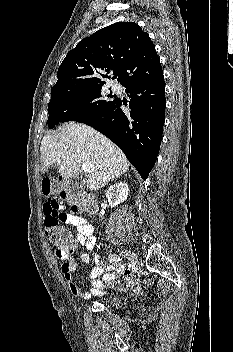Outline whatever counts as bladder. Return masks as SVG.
I'll use <instances>...</instances> for the list:
<instances>
[{
    "mask_svg": "<svg viewBox=\"0 0 233 352\" xmlns=\"http://www.w3.org/2000/svg\"><path fill=\"white\" fill-rule=\"evenodd\" d=\"M106 303L110 307H117L120 304V298L117 295L111 294L107 297Z\"/></svg>",
    "mask_w": 233,
    "mask_h": 352,
    "instance_id": "31cf9c89",
    "label": "bladder"
}]
</instances>
